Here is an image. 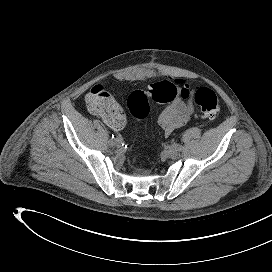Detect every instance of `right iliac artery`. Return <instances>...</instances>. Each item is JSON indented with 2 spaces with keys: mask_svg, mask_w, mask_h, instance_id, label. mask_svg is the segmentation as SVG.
<instances>
[{
  "mask_svg": "<svg viewBox=\"0 0 272 272\" xmlns=\"http://www.w3.org/2000/svg\"><path fill=\"white\" fill-rule=\"evenodd\" d=\"M123 137H124V136H123ZM118 139H119V137H118V135L115 134V133H114V134H109V135H108V140H109V141H112V142L115 143V142H117V141L119 142Z\"/></svg>",
  "mask_w": 272,
  "mask_h": 272,
  "instance_id": "1",
  "label": "right iliac artery"
}]
</instances>
